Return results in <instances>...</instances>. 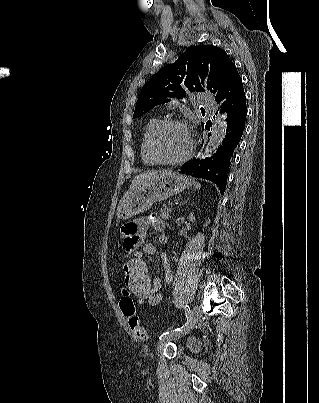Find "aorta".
<instances>
[{
  "label": "aorta",
  "instance_id": "aorta-1",
  "mask_svg": "<svg viewBox=\"0 0 319 403\" xmlns=\"http://www.w3.org/2000/svg\"><path fill=\"white\" fill-rule=\"evenodd\" d=\"M226 128V116L222 115L219 118L218 125L212 130L211 136L205 146L203 153L204 158L210 156L211 153L220 145L222 140L225 138Z\"/></svg>",
  "mask_w": 319,
  "mask_h": 403
}]
</instances>
